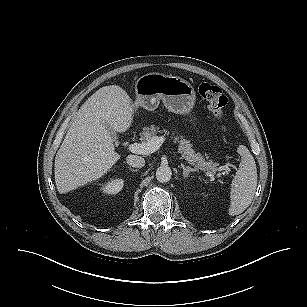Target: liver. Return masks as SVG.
<instances>
[{"instance_id": "6515ba94", "label": "liver", "mask_w": 307, "mask_h": 307, "mask_svg": "<svg viewBox=\"0 0 307 307\" xmlns=\"http://www.w3.org/2000/svg\"><path fill=\"white\" fill-rule=\"evenodd\" d=\"M132 102L120 86L97 90L80 107L56 154L55 183L60 194L99 179L120 159L110 130L127 131Z\"/></svg>"}]
</instances>
